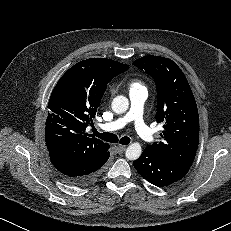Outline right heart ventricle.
I'll return each mask as SVG.
<instances>
[{
	"label": "right heart ventricle",
	"instance_id": "1",
	"mask_svg": "<svg viewBox=\"0 0 231 231\" xmlns=\"http://www.w3.org/2000/svg\"><path fill=\"white\" fill-rule=\"evenodd\" d=\"M128 87H129V92L146 89L143 83L139 80L130 81Z\"/></svg>",
	"mask_w": 231,
	"mask_h": 231
}]
</instances>
